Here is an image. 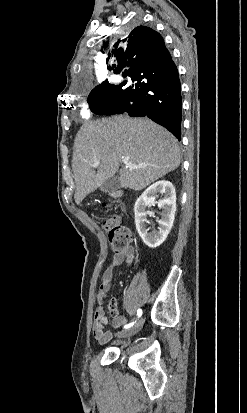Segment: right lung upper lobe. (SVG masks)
Listing matches in <instances>:
<instances>
[{
    "label": "right lung upper lobe",
    "mask_w": 247,
    "mask_h": 413,
    "mask_svg": "<svg viewBox=\"0 0 247 413\" xmlns=\"http://www.w3.org/2000/svg\"><path fill=\"white\" fill-rule=\"evenodd\" d=\"M110 57L115 64L109 65V70L123 76L153 73L172 59L161 35L146 26H137L127 38L118 40L107 63Z\"/></svg>",
    "instance_id": "1"
}]
</instances>
